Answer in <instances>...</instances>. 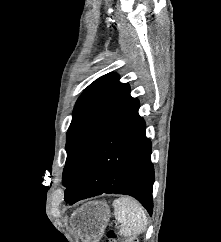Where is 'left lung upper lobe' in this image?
Masks as SVG:
<instances>
[{
	"mask_svg": "<svg viewBox=\"0 0 221 242\" xmlns=\"http://www.w3.org/2000/svg\"><path fill=\"white\" fill-rule=\"evenodd\" d=\"M139 103L130 87L109 73L90 84L78 98L67 132L63 184L69 185L99 139Z\"/></svg>",
	"mask_w": 221,
	"mask_h": 242,
	"instance_id": "obj_1",
	"label": "left lung upper lobe"
}]
</instances>
